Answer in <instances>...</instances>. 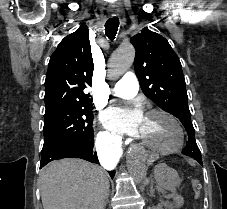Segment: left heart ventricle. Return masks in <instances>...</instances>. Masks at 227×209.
<instances>
[{
  "label": "left heart ventricle",
  "instance_id": "b2bd125f",
  "mask_svg": "<svg viewBox=\"0 0 227 209\" xmlns=\"http://www.w3.org/2000/svg\"><path fill=\"white\" fill-rule=\"evenodd\" d=\"M136 134L143 140L160 148L172 147L178 139L174 125L159 114L146 116Z\"/></svg>",
  "mask_w": 227,
  "mask_h": 209
}]
</instances>
